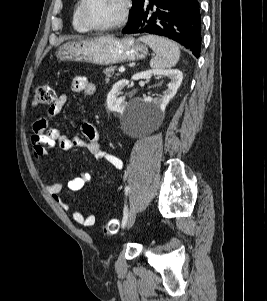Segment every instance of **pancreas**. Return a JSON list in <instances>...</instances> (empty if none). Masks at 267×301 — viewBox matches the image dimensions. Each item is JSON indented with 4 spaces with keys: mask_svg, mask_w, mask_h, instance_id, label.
I'll return each instance as SVG.
<instances>
[{
    "mask_svg": "<svg viewBox=\"0 0 267 301\" xmlns=\"http://www.w3.org/2000/svg\"><path fill=\"white\" fill-rule=\"evenodd\" d=\"M114 70H115V67H108V68H106L104 71H103V73L105 74V76H106V79H105V81L106 82H108L109 81V78L111 77V75H113L114 74Z\"/></svg>",
    "mask_w": 267,
    "mask_h": 301,
    "instance_id": "1",
    "label": "pancreas"
}]
</instances>
